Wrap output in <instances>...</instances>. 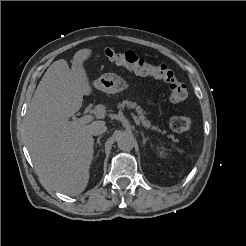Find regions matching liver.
<instances>
[{
	"label": "liver",
	"instance_id": "liver-1",
	"mask_svg": "<svg viewBox=\"0 0 246 246\" xmlns=\"http://www.w3.org/2000/svg\"><path fill=\"white\" fill-rule=\"evenodd\" d=\"M91 54L87 48L77 51L71 69L64 59L49 66L28 105L24 123L25 143L38 176L46 185L69 195L85 190L93 160L91 128L98 121L68 124L81 108L83 96L92 94L83 66ZM93 113L105 118V106H95Z\"/></svg>",
	"mask_w": 246,
	"mask_h": 246
}]
</instances>
